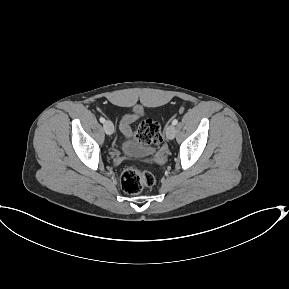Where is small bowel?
Returning a JSON list of instances; mask_svg holds the SVG:
<instances>
[{
    "label": "small bowel",
    "instance_id": "1",
    "mask_svg": "<svg viewBox=\"0 0 289 289\" xmlns=\"http://www.w3.org/2000/svg\"><path fill=\"white\" fill-rule=\"evenodd\" d=\"M138 117L137 114H127L123 116V118L120 121V130L124 136H128L130 133L129 125Z\"/></svg>",
    "mask_w": 289,
    "mask_h": 289
}]
</instances>
